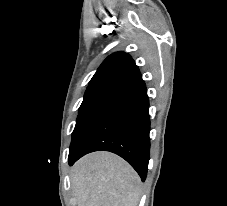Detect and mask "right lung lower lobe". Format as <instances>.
I'll list each match as a JSON object with an SVG mask.
<instances>
[{
	"label": "right lung lower lobe",
	"instance_id": "1",
	"mask_svg": "<svg viewBox=\"0 0 227 206\" xmlns=\"http://www.w3.org/2000/svg\"><path fill=\"white\" fill-rule=\"evenodd\" d=\"M150 117L147 89L142 79L109 105L96 119L75 150L73 165L87 153L106 150L124 158L145 181L150 152Z\"/></svg>",
	"mask_w": 227,
	"mask_h": 206
}]
</instances>
